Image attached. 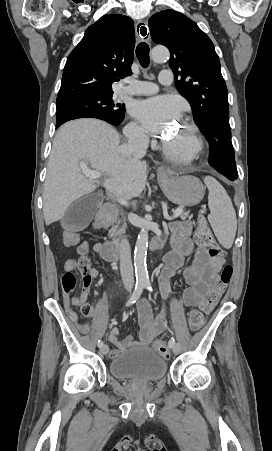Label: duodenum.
Instances as JSON below:
<instances>
[{
  "label": "duodenum",
  "instance_id": "410a0bca",
  "mask_svg": "<svg viewBox=\"0 0 272 451\" xmlns=\"http://www.w3.org/2000/svg\"><path fill=\"white\" fill-rule=\"evenodd\" d=\"M117 217V209L112 204H105L101 210L99 211L96 221H95V227L96 228H103L115 221ZM163 246V240L160 237H155L151 243L150 248L151 249H159ZM121 248L118 245H115L113 243H107L102 244L99 250V254L101 257L106 261H116L121 256Z\"/></svg>",
  "mask_w": 272,
  "mask_h": 451
}]
</instances>
